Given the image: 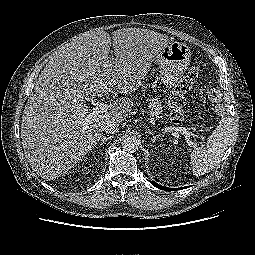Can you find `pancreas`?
I'll use <instances>...</instances> for the list:
<instances>
[{"label":"pancreas","instance_id":"obj_1","mask_svg":"<svg viewBox=\"0 0 255 255\" xmlns=\"http://www.w3.org/2000/svg\"><path fill=\"white\" fill-rule=\"evenodd\" d=\"M146 101L149 102V106L152 110V113L156 116V118L159 120V119H162L163 116H162V103L158 100V98H154V99H151V98H147Z\"/></svg>","mask_w":255,"mask_h":255}]
</instances>
